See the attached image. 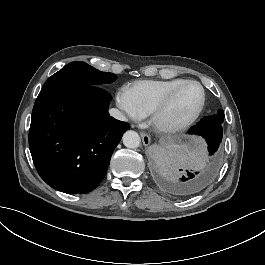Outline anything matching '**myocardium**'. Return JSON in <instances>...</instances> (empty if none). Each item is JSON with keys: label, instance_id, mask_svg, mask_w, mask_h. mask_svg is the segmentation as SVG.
Returning a JSON list of instances; mask_svg holds the SVG:
<instances>
[{"label": "myocardium", "instance_id": "myocardium-1", "mask_svg": "<svg viewBox=\"0 0 265 265\" xmlns=\"http://www.w3.org/2000/svg\"><path fill=\"white\" fill-rule=\"evenodd\" d=\"M189 83L197 84L202 92L201 101L198 107L187 117L175 124H167L163 121V115L170 109L175 102L182 88ZM207 102L206 89L202 82L197 79H184L181 81L170 94L161 101L151 112L150 125L154 132L160 135H175L181 133L190 127L202 114Z\"/></svg>", "mask_w": 265, "mask_h": 265}]
</instances>
